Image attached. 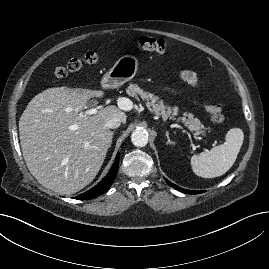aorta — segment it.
<instances>
[{"label": "aorta", "instance_id": "aorta-1", "mask_svg": "<svg viewBox=\"0 0 269 269\" xmlns=\"http://www.w3.org/2000/svg\"><path fill=\"white\" fill-rule=\"evenodd\" d=\"M131 141L136 147H144L148 143V133L144 129H136L131 134Z\"/></svg>", "mask_w": 269, "mask_h": 269}]
</instances>
